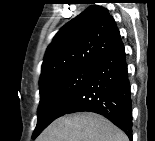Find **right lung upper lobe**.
Wrapping results in <instances>:
<instances>
[{
  "mask_svg": "<svg viewBox=\"0 0 155 141\" xmlns=\"http://www.w3.org/2000/svg\"><path fill=\"white\" fill-rule=\"evenodd\" d=\"M121 39L108 10L91 6L64 25L48 46L40 82L75 68H95Z\"/></svg>",
  "mask_w": 155,
  "mask_h": 141,
  "instance_id": "1",
  "label": "right lung upper lobe"
}]
</instances>
